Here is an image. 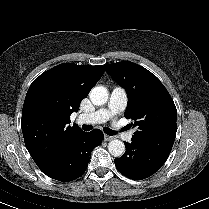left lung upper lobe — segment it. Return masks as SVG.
<instances>
[{
    "instance_id": "obj_1",
    "label": "left lung upper lobe",
    "mask_w": 209,
    "mask_h": 209,
    "mask_svg": "<svg viewBox=\"0 0 209 209\" xmlns=\"http://www.w3.org/2000/svg\"><path fill=\"white\" fill-rule=\"evenodd\" d=\"M104 67L127 92L128 104L124 116L132 119L137 127L132 138L172 148L177 130V110L161 81L133 62H118Z\"/></svg>"
}]
</instances>
